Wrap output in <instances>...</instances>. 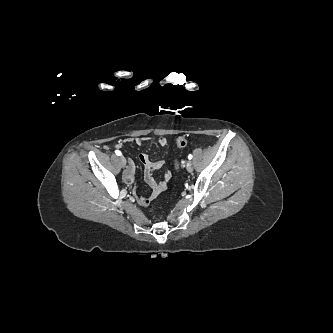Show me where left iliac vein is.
<instances>
[{"label":"left iliac vein","instance_id":"4c4485c4","mask_svg":"<svg viewBox=\"0 0 333 333\" xmlns=\"http://www.w3.org/2000/svg\"><path fill=\"white\" fill-rule=\"evenodd\" d=\"M186 169L188 172H192L193 171V164L191 161H188L186 164Z\"/></svg>","mask_w":333,"mask_h":333}]
</instances>
